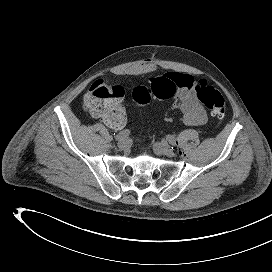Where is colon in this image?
<instances>
[{"label": "colon", "mask_w": 272, "mask_h": 272, "mask_svg": "<svg viewBox=\"0 0 272 272\" xmlns=\"http://www.w3.org/2000/svg\"><path fill=\"white\" fill-rule=\"evenodd\" d=\"M177 92V85L169 78L161 77L151 80L148 86L137 87L132 94L133 104L141 106L152 99H169ZM196 94L201 104L210 114L222 119L226 113V102L222 94L213 86L201 81L196 87ZM124 95L120 86L108 85L97 80L84 97V107L91 114L111 118L119 112V101Z\"/></svg>", "instance_id": "1"}]
</instances>
